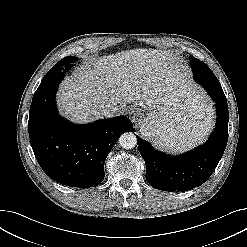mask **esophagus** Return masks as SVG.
I'll return each instance as SVG.
<instances>
[{
	"label": "esophagus",
	"mask_w": 247,
	"mask_h": 247,
	"mask_svg": "<svg viewBox=\"0 0 247 247\" xmlns=\"http://www.w3.org/2000/svg\"><path fill=\"white\" fill-rule=\"evenodd\" d=\"M128 114H129V117L130 119L133 121V122H137L140 118V111L137 107H130L128 109Z\"/></svg>",
	"instance_id": "1"
}]
</instances>
